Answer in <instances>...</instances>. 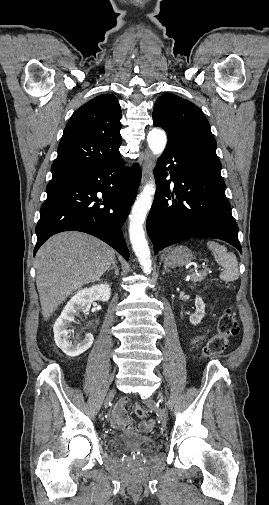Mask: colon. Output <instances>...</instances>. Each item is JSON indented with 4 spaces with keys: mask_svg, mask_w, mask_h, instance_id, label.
I'll list each match as a JSON object with an SVG mask.
<instances>
[{
    "mask_svg": "<svg viewBox=\"0 0 269 505\" xmlns=\"http://www.w3.org/2000/svg\"><path fill=\"white\" fill-rule=\"evenodd\" d=\"M240 326L233 309L226 310L219 318L217 332L208 340L202 350V357L208 358L220 355L228 346L230 338L239 333ZM135 413L143 418L146 415L141 405L135 406Z\"/></svg>",
    "mask_w": 269,
    "mask_h": 505,
    "instance_id": "colon-1",
    "label": "colon"
}]
</instances>
